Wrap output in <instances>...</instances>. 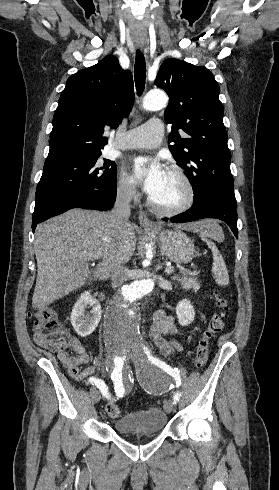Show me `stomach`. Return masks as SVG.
Returning a JSON list of instances; mask_svg holds the SVG:
<instances>
[{"label":"stomach","mask_w":279,"mask_h":490,"mask_svg":"<svg viewBox=\"0 0 279 490\" xmlns=\"http://www.w3.org/2000/svg\"><path fill=\"white\" fill-rule=\"evenodd\" d=\"M160 232H152L156 236L160 250L168 260L175 264H188L196 256L195 246L182 230H162L163 224H159Z\"/></svg>","instance_id":"obj_1"}]
</instances>
